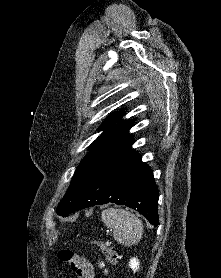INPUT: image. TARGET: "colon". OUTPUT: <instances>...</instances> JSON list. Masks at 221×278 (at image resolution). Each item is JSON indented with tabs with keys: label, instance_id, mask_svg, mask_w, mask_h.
<instances>
[{
	"label": "colon",
	"instance_id": "colon-1",
	"mask_svg": "<svg viewBox=\"0 0 221 278\" xmlns=\"http://www.w3.org/2000/svg\"><path fill=\"white\" fill-rule=\"evenodd\" d=\"M91 245L101 251L111 264L115 265L120 260L119 250L108 242L93 239ZM59 259L69 265L79 278H94L93 267L85 260L84 256L78 255L70 249H62L59 251Z\"/></svg>",
	"mask_w": 221,
	"mask_h": 278
}]
</instances>
